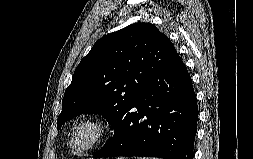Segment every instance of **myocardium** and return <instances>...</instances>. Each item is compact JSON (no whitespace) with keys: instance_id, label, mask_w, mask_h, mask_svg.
<instances>
[{"instance_id":"myocardium-1","label":"myocardium","mask_w":253,"mask_h":159,"mask_svg":"<svg viewBox=\"0 0 253 159\" xmlns=\"http://www.w3.org/2000/svg\"><path fill=\"white\" fill-rule=\"evenodd\" d=\"M94 125L96 127V133L93 138L83 147L78 148L74 145V138L78 130L84 125ZM112 133V126L110 122L102 115L96 113L86 114L78 118L68 133V147L75 155H85L93 148L105 141Z\"/></svg>"}]
</instances>
